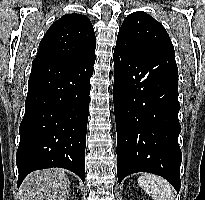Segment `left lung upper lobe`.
<instances>
[{"instance_id":"1","label":"left lung upper lobe","mask_w":205,"mask_h":200,"mask_svg":"<svg viewBox=\"0 0 205 200\" xmlns=\"http://www.w3.org/2000/svg\"><path fill=\"white\" fill-rule=\"evenodd\" d=\"M116 47L133 54L172 50L165 28L145 12L128 15L119 29Z\"/></svg>"}]
</instances>
